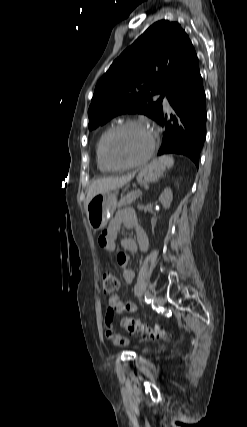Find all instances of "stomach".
I'll use <instances>...</instances> for the list:
<instances>
[{"label":"stomach","mask_w":247,"mask_h":427,"mask_svg":"<svg viewBox=\"0 0 247 427\" xmlns=\"http://www.w3.org/2000/svg\"><path fill=\"white\" fill-rule=\"evenodd\" d=\"M164 171V165L160 164L158 161H153L149 166L139 172L137 181L140 184L146 185L158 180ZM116 207V192L105 191L94 196L86 207V214L90 227L96 231L104 228L112 217Z\"/></svg>","instance_id":"obj_1"}]
</instances>
